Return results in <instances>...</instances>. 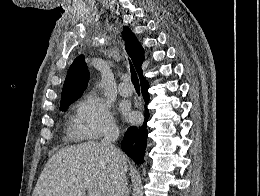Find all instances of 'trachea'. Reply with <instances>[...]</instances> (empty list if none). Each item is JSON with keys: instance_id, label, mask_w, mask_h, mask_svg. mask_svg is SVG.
Here are the masks:
<instances>
[{"instance_id": "3493384b", "label": "trachea", "mask_w": 260, "mask_h": 196, "mask_svg": "<svg viewBox=\"0 0 260 196\" xmlns=\"http://www.w3.org/2000/svg\"><path fill=\"white\" fill-rule=\"evenodd\" d=\"M129 64H130L131 81L134 86L139 87L140 83H139V79H138L136 70H135L133 64L131 63V61H129Z\"/></svg>"}]
</instances>
